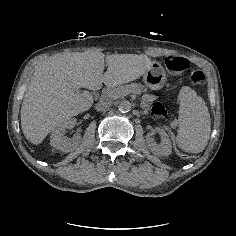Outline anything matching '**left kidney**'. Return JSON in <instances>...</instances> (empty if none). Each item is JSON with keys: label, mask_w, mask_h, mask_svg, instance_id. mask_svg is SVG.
<instances>
[{"label": "left kidney", "mask_w": 236, "mask_h": 236, "mask_svg": "<svg viewBox=\"0 0 236 236\" xmlns=\"http://www.w3.org/2000/svg\"><path fill=\"white\" fill-rule=\"evenodd\" d=\"M154 131L161 137L162 145L155 142L152 134L146 135V146L152 154L157 157H168L172 154V145L166 132L161 128H155Z\"/></svg>", "instance_id": "5707ae66"}]
</instances>
